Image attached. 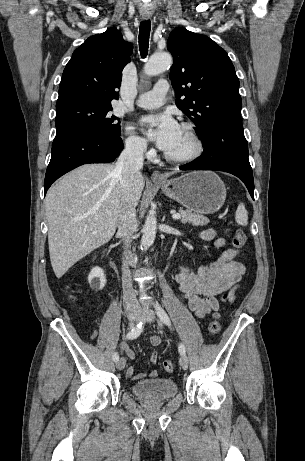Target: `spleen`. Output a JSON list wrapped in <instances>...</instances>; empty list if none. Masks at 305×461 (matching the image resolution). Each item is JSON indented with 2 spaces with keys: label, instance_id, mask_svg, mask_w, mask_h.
Masks as SVG:
<instances>
[{
  "label": "spleen",
  "instance_id": "spleen-1",
  "mask_svg": "<svg viewBox=\"0 0 305 461\" xmlns=\"http://www.w3.org/2000/svg\"><path fill=\"white\" fill-rule=\"evenodd\" d=\"M235 221L241 226H246L248 224V213L243 203H240L237 207Z\"/></svg>",
  "mask_w": 305,
  "mask_h": 461
}]
</instances>
